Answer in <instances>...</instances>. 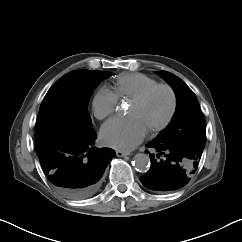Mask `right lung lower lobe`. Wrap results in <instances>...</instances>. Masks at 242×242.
Listing matches in <instances>:
<instances>
[{
  "instance_id": "98d812e1",
  "label": "right lung lower lobe",
  "mask_w": 242,
  "mask_h": 242,
  "mask_svg": "<svg viewBox=\"0 0 242 242\" xmlns=\"http://www.w3.org/2000/svg\"><path fill=\"white\" fill-rule=\"evenodd\" d=\"M96 133L53 132L36 140V151L48 180L64 195L74 199L97 193L101 177L115 157L110 148L94 146Z\"/></svg>"
}]
</instances>
